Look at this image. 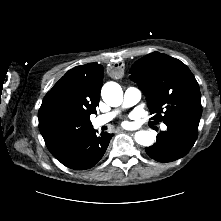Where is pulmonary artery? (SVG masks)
<instances>
[{"instance_id":"obj_1","label":"pulmonary artery","mask_w":221,"mask_h":221,"mask_svg":"<svg viewBox=\"0 0 221 221\" xmlns=\"http://www.w3.org/2000/svg\"><path fill=\"white\" fill-rule=\"evenodd\" d=\"M141 91L135 87H128L124 92L123 105L125 107L133 106L137 104L141 99ZM115 115V112L100 115L93 119L92 124L95 128H99L107 124ZM162 129L166 130V125H162Z\"/></svg>"}]
</instances>
